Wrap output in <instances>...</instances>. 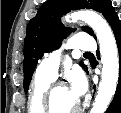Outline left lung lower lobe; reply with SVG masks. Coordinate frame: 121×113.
<instances>
[{"label": "left lung lower lobe", "instance_id": "1", "mask_svg": "<svg viewBox=\"0 0 121 113\" xmlns=\"http://www.w3.org/2000/svg\"><path fill=\"white\" fill-rule=\"evenodd\" d=\"M110 26L113 30L118 46L120 71L118 86L114 98L105 113H121V22L118 16L114 19Z\"/></svg>", "mask_w": 121, "mask_h": 113}]
</instances>
